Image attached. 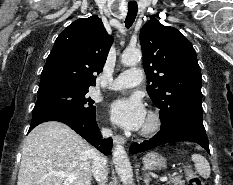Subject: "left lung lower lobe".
<instances>
[{
  "label": "left lung lower lobe",
  "mask_w": 233,
  "mask_h": 185,
  "mask_svg": "<svg viewBox=\"0 0 233 185\" xmlns=\"http://www.w3.org/2000/svg\"><path fill=\"white\" fill-rule=\"evenodd\" d=\"M202 113L201 103L191 104L171 124L162 127L152 139L140 144L134 143L130 146L129 151L138 153L165 143L191 141L198 143L210 153L208 138L202 122Z\"/></svg>",
  "instance_id": "1"
}]
</instances>
